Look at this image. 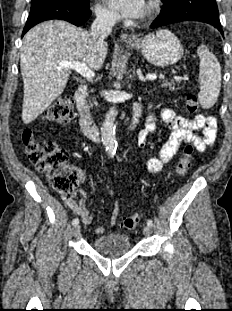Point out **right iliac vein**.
<instances>
[{
	"instance_id": "right-iliac-vein-1",
	"label": "right iliac vein",
	"mask_w": 232,
	"mask_h": 311,
	"mask_svg": "<svg viewBox=\"0 0 232 311\" xmlns=\"http://www.w3.org/2000/svg\"><path fill=\"white\" fill-rule=\"evenodd\" d=\"M73 233H74V236H76V237L79 235V233H80V226L79 225H75L73 227Z\"/></svg>"
}]
</instances>
